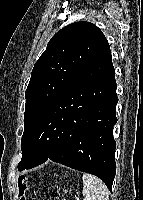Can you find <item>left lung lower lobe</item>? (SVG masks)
Masks as SVG:
<instances>
[{
  "instance_id": "1",
  "label": "left lung lower lobe",
  "mask_w": 143,
  "mask_h": 200,
  "mask_svg": "<svg viewBox=\"0 0 143 200\" xmlns=\"http://www.w3.org/2000/svg\"><path fill=\"white\" fill-rule=\"evenodd\" d=\"M117 102L115 70L107 44L42 114L25 169L51 159L98 176L111 191L116 173L113 126Z\"/></svg>"
}]
</instances>
